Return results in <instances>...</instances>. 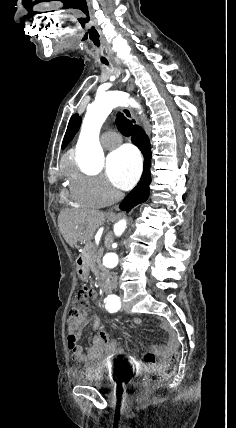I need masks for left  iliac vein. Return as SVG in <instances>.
<instances>
[{"label":"left iliac vein","instance_id":"1","mask_svg":"<svg viewBox=\"0 0 236 428\" xmlns=\"http://www.w3.org/2000/svg\"><path fill=\"white\" fill-rule=\"evenodd\" d=\"M120 298H121V299H120L121 301H124V298H123L122 296H121Z\"/></svg>","mask_w":236,"mask_h":428}]
</instances>
